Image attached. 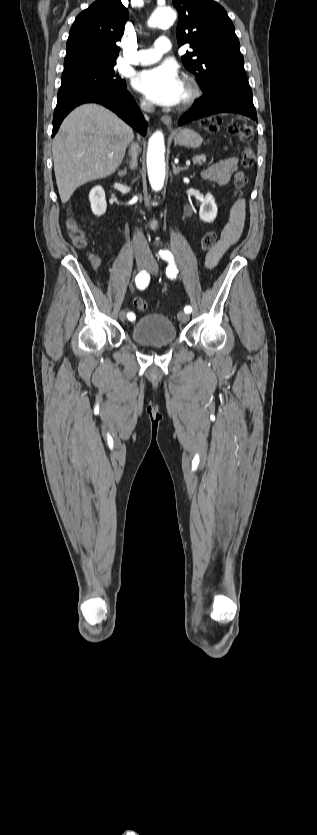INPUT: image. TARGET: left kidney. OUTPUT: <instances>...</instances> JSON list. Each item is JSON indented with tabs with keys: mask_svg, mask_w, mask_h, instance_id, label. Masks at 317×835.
Here are the masks:
<instances>
[{
	"mask_svg": "<svg viewBox=\"0 0 317 835\" xmlns=\"http://www.w3.org/2000/svg\"><path fill=\"white\" fill-rule=\"evenodd\" d=\"M217 216V205L212 194L207 193L202 200L199 210V217L204 222H213Z\"/></svg>",
	"mask_w": 317,
	"mask_h": 835,
	"instance_id": "1",
	"label": "left kidney"
}]
</instances>
